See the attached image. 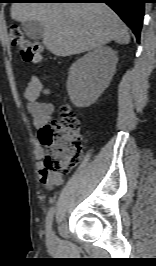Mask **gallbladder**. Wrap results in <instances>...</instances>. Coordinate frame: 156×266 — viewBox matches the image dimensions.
Listing matches in <instances>:
<instances>
[{
	"instance_id": "bac80fb5",
	"label": "gallbladder",
	"mask_w": 156,
	"mask_h": 266,
	"mask_svg": "<svg viewBox=\"0 0 156 266\" xmlns=\"http://www.w3.org/2000/svg\"><path fill=\"white\" fill-rule=\"evenodd\" d=\"M22 29L30 39L40 40L43 38L44 27L38 21H26L22 23Z\"/></svg>"
}]
</instances>
